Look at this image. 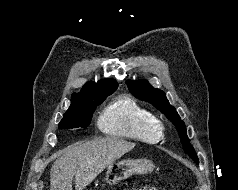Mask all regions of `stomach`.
Here are the masks:
<instances>
[{"mask_svg":"<svg viewBox=\"0 0 238 190\" xmlns=\"http://www.w3.org/2000/svg\"><path fill=\"white\" fill-rule=\"evenodd\" d=\"M153 168V163L147 159L119 160L108 166L105 181L109 185H116L133 174H146L152 171Z\"/></svg>","mask_w":238,"mask_h":190,"instance_id":"1","label":"stomach"}]
</instances>
